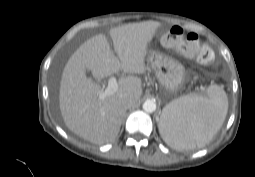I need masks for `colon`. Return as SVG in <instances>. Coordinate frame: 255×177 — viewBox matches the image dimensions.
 <instances>
[{
    "label": "colon",
    "mask_w": 255,
    "mask_h": 177,
    "mask_svg": "<svg viewBox=\"0 0 255 177\" xmlns=\"http://www.w3.org/2000/svg\"><path fill=\"white\" fill-rule=\"evenodd\" d=\"M165 47L177 50L184 58L193 59L200 64H210L214 53L208 45H201L199 36L194 32L184 34L180 26H173L163 38Z\"/></svg>",
    "instance_id": "1"
}]
</instances>
